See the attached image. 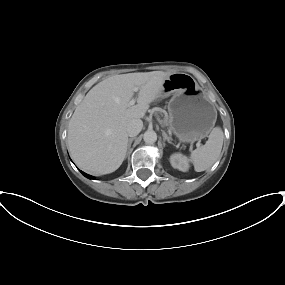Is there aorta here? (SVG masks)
<instances>
[{"label":"aorta","mask_w":285,"mask_h":285,"mask_svg":"<svg viewBox=\"0 0 285 285\" xmlns=\"http://www.w3.org/2000/svg\"><path fill=\"white\" fill-rule=\"evenodd\" d=\"M145 143L147 144H153L156 142L157 140V134L155 131L153 130H147L145 133H144V137H143Z\"/></svg>","instance_id":"1"}]
</instances>
